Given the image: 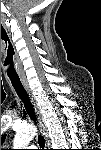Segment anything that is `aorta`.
<instances>
[{"mask_svg":"<svg viewBox=\"0 0 101 150\" xmlns=\"http://www.w3.org/2000/svg\"><path fill=\"white\" fill-rule=\"evenodd\" d=\"M36 135V128L33 126H26L19 130L14 138L13 146L16 149H22V147H27L33 137Z\"/></svg>","mask_w":101,"mask_h":150,"instance_id":"aorta-1","label":"aorta"}]
</instances>
